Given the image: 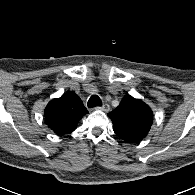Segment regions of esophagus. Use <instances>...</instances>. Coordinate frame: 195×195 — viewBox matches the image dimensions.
<instances>
[{
  "label": "esophagus",
  "instance_id": "obj_1",
  "mask_svg": "<svg viewBox=\"0 0 195 195\" xmlns=\"http://www.w3.org/2000/svg\"><path fill=\"white\" fill-rule=\"evenodd\" d=\"M95 109L107 112L110 109V106L108 104H103L102 106H98Z\"/></svg>",
  "mask_w": 195,
  "mask_h": 195
}]
</instances>
